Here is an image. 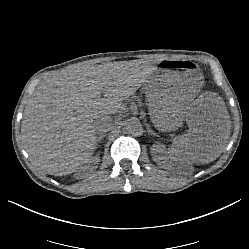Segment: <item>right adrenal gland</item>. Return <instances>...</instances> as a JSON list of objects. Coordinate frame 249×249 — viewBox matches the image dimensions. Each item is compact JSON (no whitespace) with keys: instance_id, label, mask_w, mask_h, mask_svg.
I'll return each instance as SVG.
<instances>
[{"instance_id":"1","label":"right adrenal gland","mask_w":249,"mask_h":249,"mask_svg":"<svg viewBox=\"0 0 249 249\" xmlns=\"http://www.w3.org/2000/svg\"><path fill=\"white\" fill-rule=\"evenodd\" d=\"M105 134L106 133L104 132L97 134V141L101 142L102 140H104Z\"/></svg>"}]
</instances>
